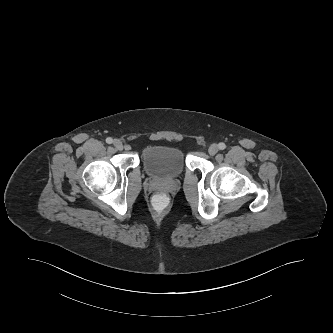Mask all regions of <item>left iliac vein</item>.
Here are the masks:
<instances>
[{
	"mask_svg": "<svg viewBox=\"0 0 333 333\" xmlns=\"http://www.w3.org/2000/svg\"><path fill=\"white\" fill-rule=\"evenodd\" d=\"M218 152V146L216 144H212L208 148V153L210 155H215Z\"/></svg>",
	"mask_w": 333,
	"mask_h": 333,
	"instance_id": "1",
	"label": "left iliac vein"
}]
</instances>
